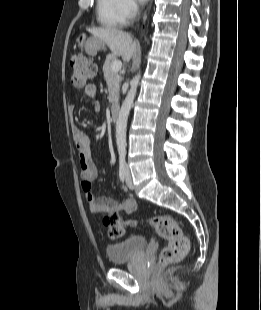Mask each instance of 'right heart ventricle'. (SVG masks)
Segmentation results:
<instances>
[{
    "label": "right heart ventricle",
    "instance_id": "right-heart-ventricle-1",
    "mask_svg": "<svg viewBox=\"0 0 261 310\" xmlns=\"http://www.w3.org/2000/svg\"><path fill=\"white\" fill-rule=\"evenodd\" d=\"M97 21L107 28H119L125 24L120 10L119 0H96Z\"/></svg>",
    "mask_w": 261,
    "mask_h": 310
}]
</instances>
